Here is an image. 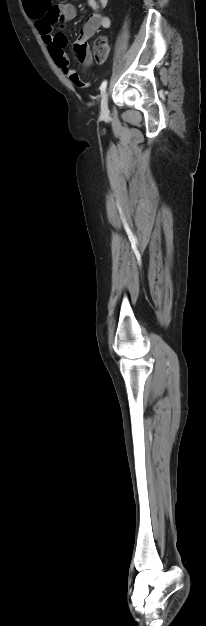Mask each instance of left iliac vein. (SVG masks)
I'll list each match as a JSON object with an SVG mask.
<instances>
[{
    "label": "left iliac vein",
    "mask_w": 206,
    "mask_h": 626,
    "mask_svg": "<svg viewBox=\"0 0 206 626\" xmlns=\"http://www.w3.org/2000/svg\"><path fill=\"white\" fill-rule=\"evenodd\" d=\"M109 114V109H108V94L107 92H104L102 95V100H101V115L102 116H107Z\"/></svg>",
    "instance_id": "1"
}]
</instances>
